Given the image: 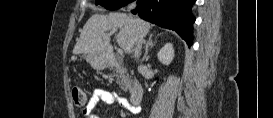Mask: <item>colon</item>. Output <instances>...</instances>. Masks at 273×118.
<instances>
[{
	"instance_id": "obj_1",
	"label": "colon",
	"mask_w": 273,
	"mask_h": 118,
	"mask_svg": "<svg viewBox=\"0 0 273 118\" xmlns=\"http://www.w3.org/2000/svg\"><path fill=\"white\" fill-rule=\"evenodd\" d=\"M73 102L76 106H84L87 102L84 90L78 86H74L71 90Z\"/></svg>"
}]
</instances>
